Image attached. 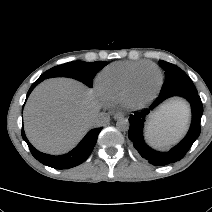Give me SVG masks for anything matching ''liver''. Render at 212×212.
<instances>
[{"label": "liver", "mask_w": 212, "mask_h": 212, "mask_svg": "<svg viewBox=\"0 0 212 212\" xmlns=\"http://www.w3.org/2000/svg\"><path fill=\"white\" fill-rule=\"evenodd\" d=\"M99 109L93 91L81 83L66 78L46 80L35 88L25 106L27 137L43 152L65 153L93 127L91 119ZM187 121V110L172 102L154 114L148 130L177 139Z\"/></svg>", "instance_id": "liver-1"}]
</instances>
